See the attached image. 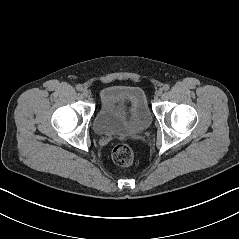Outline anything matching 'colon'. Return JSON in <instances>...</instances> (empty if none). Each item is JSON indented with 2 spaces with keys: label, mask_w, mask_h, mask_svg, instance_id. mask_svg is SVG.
<instances>
[{
  "label": "colon",
  "mask_w": 239,
  "mask_h": 239,
  "mask_svg": "<svg viewBox=\"0 0 239 239\" xmlns=\"http://www.w3.org/2000/svg\"><path fill=\"white\" fill-rule=\"evenodd\" d=\"M112 159L119 166H130L134 162L133 150L124 143H117L112 148Z\"/></svg>",
  "instance_id": "5ec220e1"
}]
</instances>
